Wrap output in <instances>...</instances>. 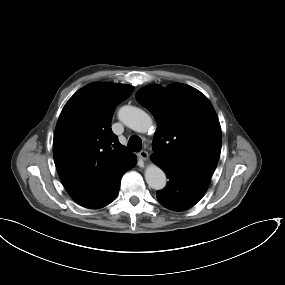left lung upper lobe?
Wrapping results in <instances>:
<instances>
[{"instance_id":"1","label":"left lung upper lobe","mask_w":285,"mask_h":285,"mask_svg":"<svg viewBox=\"0 0 285 285\" xmlns=\"http://www.w3.org/2000/svg\"><path fill=\"white\" fill-rule=\"evenodd\" d=\"M136 99L158 123L151 159L210 178L221 152V128L207 97L191 86L174 83L166 88L146 86Z\"/></svg>"}]
</instances>
